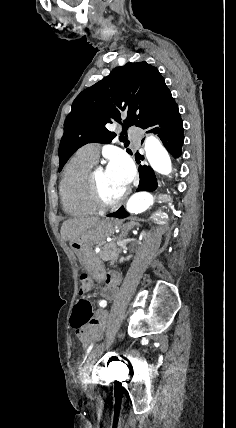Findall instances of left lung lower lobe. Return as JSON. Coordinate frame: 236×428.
<instances>
[{
  "label": "left lung lower lobe",
  "mask_w": 236,
  "mask_h": 428,
  "mask_svg": "<svg viewBox=\"0 0 236 428\" xmlns=\"http://www.w3.org/2000/svg\"><path fill=\"white\" fill-rule=\"evenodd\" d=\"M149 127H153L151 132L158 134L164 146L174 158L181 155V148L184 142L183 121L174 100L142 128L147 129ZM139 173L140 183L136 191H154L157 188V180L152 168L149 166H140ZM128 215L129 213L121 207L118 211L108 214L107 216L125 218Z\"/></svg>",
  "instance_id": "obj_1"
}]
</instances>
